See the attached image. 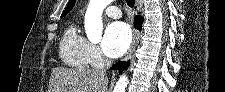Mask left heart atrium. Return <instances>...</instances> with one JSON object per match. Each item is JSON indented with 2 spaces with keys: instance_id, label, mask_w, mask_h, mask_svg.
<instances>
[{
  "instance_id": "1",
  "label": "left heart atrium",
  "mask_w": 225,
  "mask_h": 92,
  "mask_svg": "<svg viewBox=\"0 0 225 92\" xmlns=\"http://www.w3.org/2000/svg\"><path fill=\"white\" fill-rule=\"evenodd\" d=\"M132 39L130 27L124 22H113L105 30L102 49L106 56L116 58L125 53Z\"/></svg>"
}]
</instances>
